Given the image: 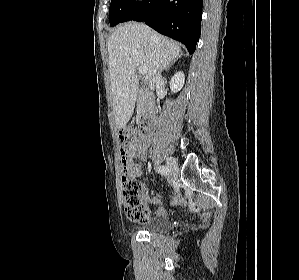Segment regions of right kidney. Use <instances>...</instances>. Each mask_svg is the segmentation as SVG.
<instances>
[{
  "label": "right kidney",
  "mask_w": 299,
  "mask_h": 280,
  "mask_svg": "<svg viewBox=\"0 0 299 280\" xmlns=\"http://www.w3.org/2000/svg\"><path fill=\"white\" fill-rule=\"evenodd\" d=\"M185 82V75L183 72L179 71L174 74V76L170 80V89L176 93L180 91Z\"/></svg>",
  "instance_id": "ca27d5eb"
}]
</instances>
